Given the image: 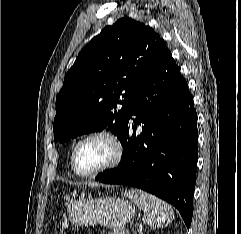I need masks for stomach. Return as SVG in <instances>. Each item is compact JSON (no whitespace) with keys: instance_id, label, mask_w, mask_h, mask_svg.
Instances as JSON below:
<instances>
[{"instance_id":"obj_1","label":"stomach","mask_w":241,"mask_h":234,"mask_svg":"<svg viewBox=\"0 0 241 234\" xmlns=\"http://www.w3.org/2000/svg\"><path fill=\"white\" fill-rule=\"evenodd\" d=\"M135 215V208L124 198L105 196L79 198L69 208V217L76 226L100 224L121 229Z\"/></svg>"}]
</instances>
